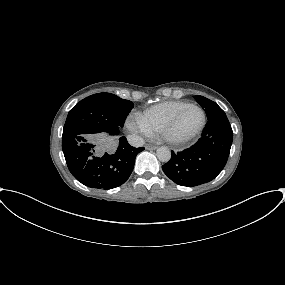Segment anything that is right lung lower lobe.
Returning <instances> with one entry per match:
<instances>
[{
  "label": "right lung lower lobe",
  "instance_id": "obj_1",
  "mask_svg": "<svg viewBox=\"0 0 285 285\" xmlns=\"http://www.w3.org/2000/svg\"><path fill=\"white\" fill-rule=\"evenodd\" d=\"M102 136L79 135L62 141L65 160L71 174L82 184L96 189L122 185L131 175L136 155L144 148H134L120 137L114 152H105Z\"/></svg>",
  "mask_w": 285,
  "mask_h": 285
}]
</instances>
